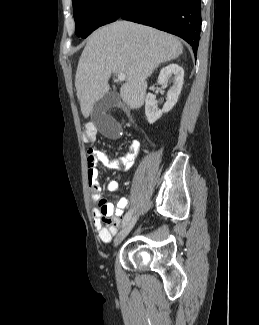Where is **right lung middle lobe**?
I'll list each match as a JSON object with an SVG mask.
<instances>
[{"label":"right lung middle lobe","mask_w":259,"mask_h":325,"mask_svg":"<svg viewBox=\"0 0 259 325\" xmlns=\"http://www.w3.org/2000/svg\"><path fill=\"white\" fill-rule=\"evenodd\" d=\"M75 34L86 38L98 27L118 19L126 0H72Z\"/></svg>","instance_id":"dd1d6c3e"}]
</instances>
